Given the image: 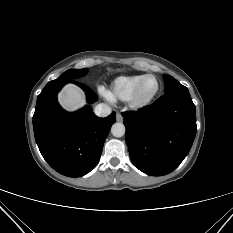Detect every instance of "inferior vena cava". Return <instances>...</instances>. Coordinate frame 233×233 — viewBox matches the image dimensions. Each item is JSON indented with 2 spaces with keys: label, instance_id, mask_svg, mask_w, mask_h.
<instances>
[{
  "label": "inferior vena cava",
  "instance_id": "1",
  "mask_svg": "<svg viewBox=\"0 0 233 233\" xmlns=\"http://www.w3.org/2000/svg\"><path fill=\"white\" fill-rule=\"evenodd\" d=\"M94 113L99 117H107L111 113V108L107 104L101 103L95 107Z\"/></svg>",
  "mask_w": 233,
  "mask_h": 233
}]
</instances>
